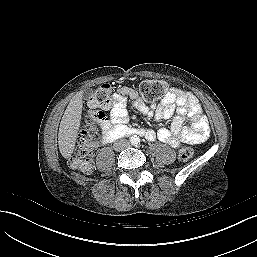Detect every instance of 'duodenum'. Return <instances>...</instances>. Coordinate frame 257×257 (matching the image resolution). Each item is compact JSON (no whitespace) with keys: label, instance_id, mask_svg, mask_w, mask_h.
Segmentation results:
<instances>
[{"label":"duodenum","instance_id":"obj_1","mask_svg":"<svg viewBox=\"0 0 257 257\" xmlns=\"http://www.w3.org/2000/svg\"><path fill=\"white\" fill-rule=\"evenodd\" d=\"M145 134V131L142 129L128 128L124 126H119L113 128L107 135L108 142L114 141L123 136L139 135L142 136Z\"/></svg>","mask_w":257,"mask_h":257}]
</instances>
